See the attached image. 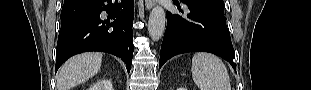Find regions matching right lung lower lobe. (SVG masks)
<instances>
[{
	"instance_id": "right-lung-lower-lobe-1",
	"label": "right lung lower lobe",
	"mask_w": 311,
	"mask_h": 90,
	"mask_svg": "<svg viewBox=\"0 0 311 90\" xmlns=\"http://www.w3.org/2000/svg\"><path fill=\"white\" fill-rule=\"evenodd\" d=\"M132 0H72L61 11L56 71L71 56L101 51L120 57L131 69Z\"/></svg>"
}]
</instances>
